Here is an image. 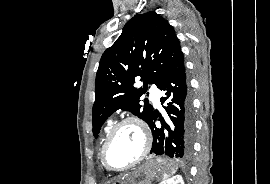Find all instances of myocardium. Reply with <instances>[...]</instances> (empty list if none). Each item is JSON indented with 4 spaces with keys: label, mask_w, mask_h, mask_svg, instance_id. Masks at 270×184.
<instances>
[{
    "label": "myocardium",
    "mask_w": 270,
    "mask_h": 184,
    "mask_svg": "<svg viewBox=\"0 0 270 184\" xmlns=\"http://www.w3.org/2000/svg\"><path fill=\"white\" fill-rule=\"evenodd\" d=\"M126 124H134L135 126L138 127L143 137V149H142L141 154L129 165L121 167V168H115V167H112L108 163L107 153L116 134L121 129V127ZM151 142H152L151 135L145 123L138 117L127 116L119 120L118 122H116L114 126L112 127L109 135L107 136L106 141L102 148V152H101L102 164L107 170L112 171V172H123V171L129 170L133 168L134 166L138 165L139 163H141L147 157L151 149Z\"/></svg>",
    "instance_id": "myocardium-1"
}]
</instances>
